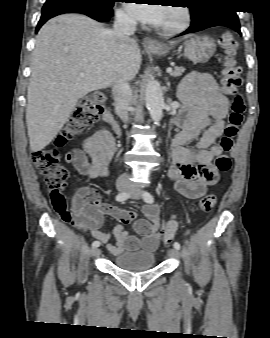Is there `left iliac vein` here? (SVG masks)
Masks as SVG:
<instances>
[{
	"label": "left iliac vein",
	"instance_id": "1",
	"mask_svg": "<svg viewBox=\"0 0 270 338\" xmlns=\"http://www.w3.org/2000/svg\"><path fill=\"white\" fill-rule=\"evenodd\" d=\"M130 191L132 192V198L133 199H139L142 196L143 191L141 189H139L138 187H136L135 185H131L130 186ZM167 255L170 258H176L178 257V250H176L175 248H170L167 251Z\"/></svg>",
	"mask_w": 270,
	"mask_h": 338
}]
</instances>
